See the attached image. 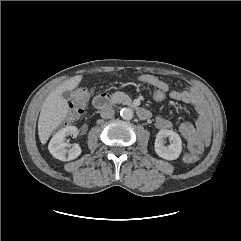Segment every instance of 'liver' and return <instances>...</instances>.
Returning <instances> with one entry per match:
<instances>
[{
    "mask_svg": "<svg viewBox=\"0 0 241 241\" xmlns=\"http://www.w3.org/2000/svg\"><path fill=\"white\" fill-rule=\"evenodd\" d=\"M82 78V75H77L68 79L45 99L38 120V135L42 144L47 142L51 133L63 122L68 114V103L62 97V93L75 89Z\"/></svg>",
    "mask_w": 241,
    "mask_h": 241,
    "instance_id": "liver-1",
    "label": "liver"
}]
</instances>
